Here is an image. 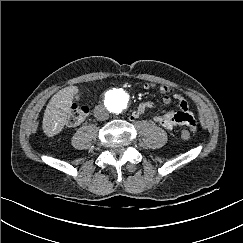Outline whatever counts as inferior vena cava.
Returning a JSON list of instances; mask_svg holds the SVG:
<instances>
[{
  "label": "inferior vena cava",
  "instance_id": "1",
  "mask_svg": "<svg viewBox=\"0 0 243 243\" xmlns=\"http://www.w3.org/2000/svg\"><path fill=\"white\" fill-rule=\"evenodd\" d=\"M95 117L99 121H104L108 119V112L103 107H99L95 112Z\"/></svg>",
  "mask_w": 243,
  "mask_h": 243
}]
</instances>
